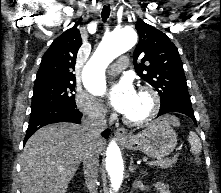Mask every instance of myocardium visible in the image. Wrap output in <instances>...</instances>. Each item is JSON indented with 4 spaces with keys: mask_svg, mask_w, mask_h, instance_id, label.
Listing matches in <instances>:
<instances>
[{
    "mask_svg": "<svg viewBox=\"0 0 221 193\" xmlns=\"http://www.w3.org/2000/svg\"><path fill=\"white\" fill-rule=\"evenodd\" d=\"M139 93L149 97L151 106L149 111L141 118L133 119L123 116V121L129 126H143L155 118L160 108V97L158 92L149 85H142L139 88Z\"/></svg>",
    "mask_w": 221,
    "mask_h": 193,
    "instance_id": "obj_1",
    "label": "myocardium"
}]
</instances>
